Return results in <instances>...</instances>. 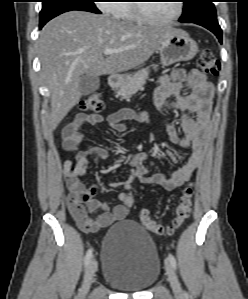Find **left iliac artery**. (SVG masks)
<instances>
[{
  "mask_svg": "<svg viewBox=\"0 0 248 299\" xmlns=\"http://www.w3.org/2000/svg\"><path fill=\"white\" fill-rule=\"evenodd\" d=\"M168 260L170 261L172 267H173L174 269H176V268H177V263H176V259H175V257H174L172 254H169V256H168Z\"/></svg>",
  "mask_w": 248,
  "mask_h": 299,
  "instance_id": "left-iliac-artery-1",
  "label": "left iliac artery"
}]
</instances>
